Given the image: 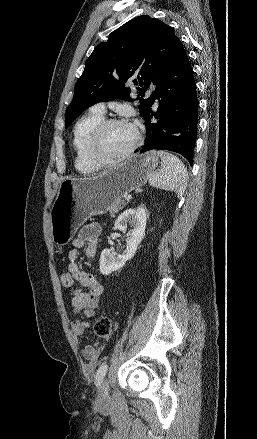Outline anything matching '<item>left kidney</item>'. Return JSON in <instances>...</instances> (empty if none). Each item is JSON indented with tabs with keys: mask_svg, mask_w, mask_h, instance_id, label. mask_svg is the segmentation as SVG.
<instances>
[{
	"mask_svg": "<svg viewBox=\"0 0 257 439\" xmlns=\"http://www.w3.org/2000/svg\"><path fill=\"white\" fill-rule=\"evenodd\" d=\"M147 211L144 207L127 209L115 221V228L126 232L127 224L132 227L128 233L125 254L115 255L109 249H104L100 256V272L109 275L120 270L125 263L132 259L145 235Z\"/></svg>",
	"mask_w": 257,
	"mask_h": 439,
	"instance_id": "5707ae66",
	"label": "left kidney"
}]
</instances>
